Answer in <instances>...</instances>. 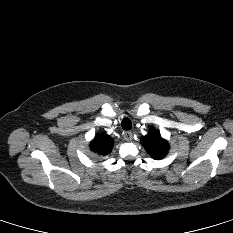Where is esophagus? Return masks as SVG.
<instances>
[{
    "mask_svg": "<svg viewBox=\"0 0 233 233\" xmlns=\"http://www.w3.org/2000/svg\"><path fill=\"white\" fill-rule=\"evenodd\" d=\"M133 134L130 131H126L123 133V138L125 141L130 142L132 140Z\"/></svg>",
    "mask_w": 233,
    "mask_h": 233,
    "instance_id": "esophagus-1",
    "label": "esophagus"
}]
</instances>
